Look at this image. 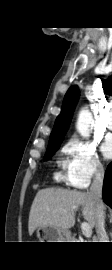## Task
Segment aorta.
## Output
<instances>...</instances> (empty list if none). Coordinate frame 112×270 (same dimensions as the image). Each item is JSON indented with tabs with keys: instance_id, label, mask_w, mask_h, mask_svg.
<instances>
[{
	"instance_id": "1",
	"label": "aorta",
	"mask_w": 112,
	"mask_h": 270,
	"mask_svg": "<svg viewBox=\"0 0 112 270\" xmlns=\"http://www.w3.org/2000/svg\"><path fill=\"white\" fill-rule=\"evenodd\" d=\"M92 120H93L92 114L88 109H82L79 112L76 128L78 132L81 134V136L89 137L90 135L89 127Z\"/></svg>"
}]
</instances>
